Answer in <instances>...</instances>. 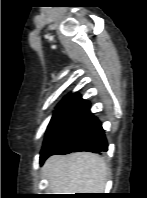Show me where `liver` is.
<instances>
[{
	"mask_svg": "<svg viewBox=\"0 0 147 198\" xmlns=\"http://www.w3.org/2000/svg\"><path fill=\"white\" fill-rule=\"evenodd\" d=\"M43 174L52 194L102 193L109 170L97 154L78 152L46 160Z\"/></svg>",
	"mask_w": 147,
	"mask_h": 198,
	"instance_id": "1",
	"label": "liver"
}]
</instances>
